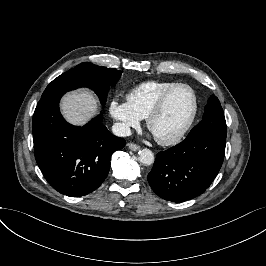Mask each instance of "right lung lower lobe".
Segmentation results:
<instances>
[{
	"instance_id": "1",
	"label": "right lung lower lobe",
	"mask_w": 266,
	"mask_h": 266,
	"mask_svg": "<svg viewBox=\"0 0 266 266\" xmlns=\"http://www.w3.org/2000/svg\"><path fill=\"white\" fill-rule=\"evenodd\" d=\"M64 91L46 95L32 123L34 154L48 183L58 192L80 197L97 189L110 170V157L126 145L102 124V112L83 127L67 123L59 111Z\"/></svg>"
}]
</instances>
